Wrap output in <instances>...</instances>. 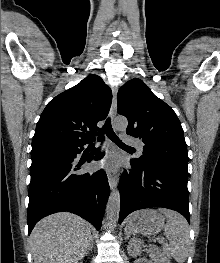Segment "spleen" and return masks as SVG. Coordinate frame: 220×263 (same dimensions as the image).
Masks as SVG:
<instances>
[{"instance_id": "spleen-1", "label": "spleen", "mask_w": 220, "mask_h": 263, "mask_svg": "<svg viewBox=\"0 0 220 263\" xmlns=\"http://www.w3.org/2000/svg\"><path fill=\"white\" fill-rule=\"evenodd\" d=\"M167 218L164 234L169 240V247L167 252L178 263H183L188 257L189 253V227L186 219L179 213L161 208L159 209Z\"/></svg>"}]
</instances>
